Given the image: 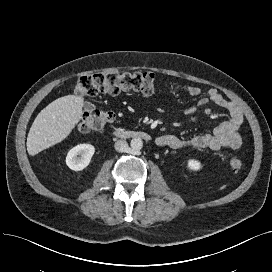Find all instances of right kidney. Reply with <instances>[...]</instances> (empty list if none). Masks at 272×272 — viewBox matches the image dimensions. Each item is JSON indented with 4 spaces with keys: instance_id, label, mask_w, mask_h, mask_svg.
Returning a JSON list of instances; mask_svg holds the SVG:
<instances>
[{
    "instance_id": "right-kidney-1",
    "label": "right kidney",
    "mask_w": 272,
    "mask_h": 272,
    "mask_svg": "<svg viewBox=\"0 0 272 272\" xmlns=\"http://www.w3.org/2000/svg\"><path fill=\"white\" fill-rule=\"evenodd\" d=\"M94 152L95 148L93 145L79 144L68 152L66 164L74 171H81L89 165Z\"/></svg>"
}]
</instances>
